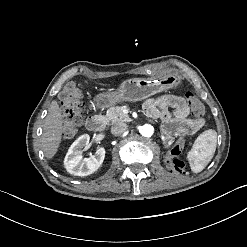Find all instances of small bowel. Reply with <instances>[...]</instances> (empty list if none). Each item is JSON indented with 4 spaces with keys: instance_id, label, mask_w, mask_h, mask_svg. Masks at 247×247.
<instances>
[{
    "instance_id": "small-bowel-1",
    "label": "small bowel",
    "mask_w": 247,
    "mask_h": 247,
    "mask_svg": "<svg viewBox=\"0 0 247 247\" xmlns=\"http://www.w3.org/2000/svg\"><path fill=\"white\" fill-rule=\"evenodd\" d=\"M144 109L150 118L163 120L166 141L180 133L193 135L203 126V119L188 117L189 104L180 96L163 94L150 98L145 102Z\"/></svg>"
}]
</instances>
